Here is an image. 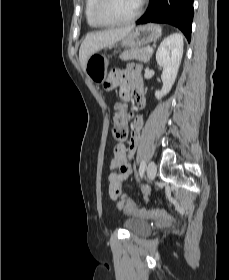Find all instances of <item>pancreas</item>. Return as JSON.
I'll list each match as a JSON object with an SVG mask.
<instances>
[{
    "label": "pancreas",
    "instance_id": "obj_1",
    "mask_svg": "<svg viewBox=\"0 0 229 280\" xmlns=\"http://www.w3.org/2000/svg\"><path fill=\"white\" fill-rule=\"evenodd\" d=\"M151 56L152 53L147 52L146 48H131L122 52L119 57L125 61L135 59L147 63Z\"/></svg>",
    "mask_w": 229,
    "mask_h": 280
}]
</instances>
